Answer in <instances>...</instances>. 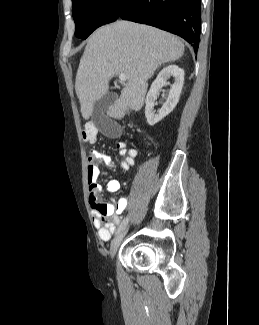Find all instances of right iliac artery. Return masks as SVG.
I'll return each instance as SVG.
<instances>
[{
	"label": "right iliac artery",
	"instance_id": "obj_1",
	"mask_svg": "<svg viewBox=\"0 0 259 325\" xmlns=\"http://www.w3.org/2000/svg\"><path fill=\"white\" fill-rule=\"evenodd\" d=\"M127 223H128V217L123 219V221L121 222L120 226L116 231V234H119L126 227Z\"/></svg>",
	"mask_w": 259,
	"mask_h": 325
}]
</instances>
